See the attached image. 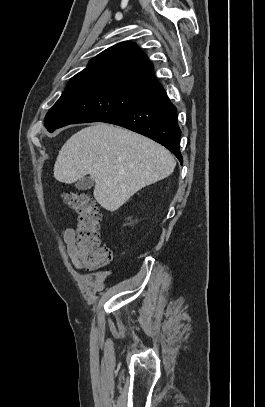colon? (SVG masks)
<instances>
[{
    "label": "colon",
    "mask_w": 265,
    "mask_h": 407,
    "mask_svg": "<svg viewBox=\"0 0 265 407\" xmlns=\"http://www.w3.org/2000/svg\"><path fill=\"white\" fill-rule=\"evenodd\" d=\"M61 197L78 214L75 235L77 262L89 270L108 266L113 260V251L101 244V213L95 201L81 191H65Z\"/></svg>",
    "instance_id": "5ec220e1"
}]
</instances>
